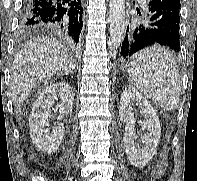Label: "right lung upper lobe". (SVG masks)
I'll use <instances>...</instances> for the list:
<instances>
[{"label": "right lung upper lobe", "instance_id": "1", "mask_svg": "<svg viewBox=\"0 0 197 181\" xmlns=\"http://www.w3.org/2000/svg\"><path fill=\"white\" fill-rule=\"evenodd\" d=\"M25 30H28V31H36V30H42L44 29L43 27H36V26H33V27H26L24 28Z\"/></svg>", "mask_w": 197, "mask_h": 181}]
</instances>
